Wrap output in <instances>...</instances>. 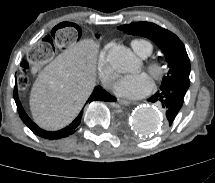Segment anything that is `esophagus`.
Segmentation results:
<instances>
[{
    "label": "esophagus",
    "mask_w": 215,
    "mask_h": 183,
    "mask_svg": "<svg viewBox=\"0 0 215 183\" xmlns=\"http://www.w3.org/2000/svg\"><path fill=\"white\" fill-rule=\"evenodd\" d=\"M118 102H119V104L125 105V106H128V105L132 104L131 101L125 100V99H118Z\"/></svg>",
    "instance_id": "obj_1"
}]
</instances>
